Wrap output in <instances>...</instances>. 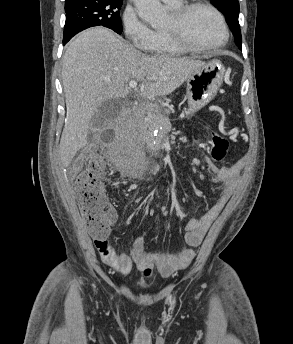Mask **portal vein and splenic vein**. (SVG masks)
Segmentation results:
<instances>
[{"mask_svg":"<svg viewBox=\"0 0 293 344\" xmlns=\"http://www.w3.org/2000/svg\"><path fill=\"white\" fill-rule=\"evenodd\" d=\"M129 87H131V88H136V87H137V81H135V80H130V81H129Z\"/></svg>","mask_w":293,"mask_h":344,"instance_id":"18ae733b","label":"portal vein and splenic vein"}]
</instances>
